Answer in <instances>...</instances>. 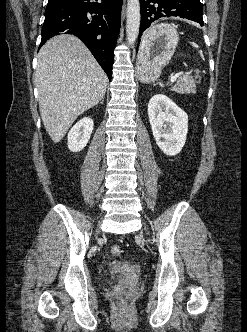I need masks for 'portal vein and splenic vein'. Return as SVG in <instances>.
Masks as SVG:
<instances>
[{"label": "portal vein and splenic vein", "mask_w": 247, "mask_h": 332, "mask_svg": "<svg viewBox=\"0 0 247 332\" xmlns=\"http://www.w3.org/2000/svg\"><path fill=\"white\" fill-rule=\"evenodd\" d=\"M181 74H183V72H178V73L174 74L173 76H171V79H170L171 83H174L176 81V79L178 77H180Z\"/></svg>", "instance_id": "1"}]
</instances>
